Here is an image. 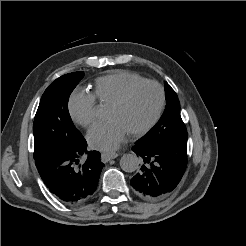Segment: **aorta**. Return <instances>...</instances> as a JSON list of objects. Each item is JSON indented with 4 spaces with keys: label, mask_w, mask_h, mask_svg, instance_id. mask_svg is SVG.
<instances>
[{
    "label": "aorta",
    "mask_w": 246,
    "mask_h": 246,
    "mask_svg": "<svg viewBox=\"0 0 246 246\" xmlns=\"http://www.w3.org/2000/svg\"><path fill=\"white\" fill-rule=\"evenodd\" d=\"M140 165V159L134 154H124L120 159V166L125 172H134Z\"/></svg>",
    "instance_id": "obj_1"
}]
</instances>
